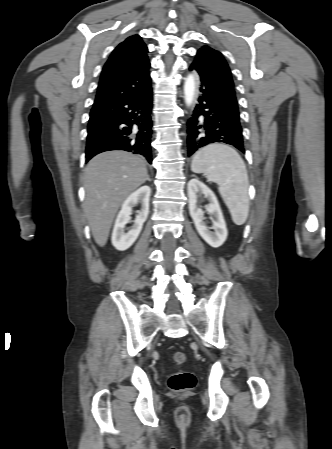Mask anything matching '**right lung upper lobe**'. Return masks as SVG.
<instances>
[{
    "instance_id": "cb5924a9",
    "label": "right lung upper lobe",
    "mask_w": 332,
    "mask_h": 449,
    "mask_svg": "<svg viewBox=\"0 0 332 449\" xmlns=\"http://www.w3.org/2000/svg\"><path fill=\"white\" fill-rule=\"evenodd\" d=\"M147 53L139 35L120 43L104 65L94 105L143 95L150 89Z\"/></svg>"
}]
</instances>
